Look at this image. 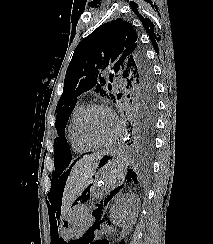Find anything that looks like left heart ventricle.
Returning a JSON list of instances; mask_svg holds the SVG:
<instances>
[{"label":"left heart ventricle","instance_id":"obj_1","mask_svg":"<svg viewBox=\"0 0 213 244\" xmlns=\"http://www.w3.org/2000/svg\"><path fill=\"white\" fill-rule=\"evenodd\" d=\"M115 122L111 115L103 110H93L89 113L84 124L86 135L93 141L109 140L115 133Z\"/></svg>","mask_w":213,"mask_h":244}]
</instances>
